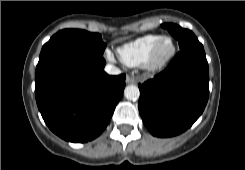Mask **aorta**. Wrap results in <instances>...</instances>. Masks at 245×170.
<instances>
[{
	"label": "aorta",
	"mask_w": 245,
	"mask_h": 170,
	"mask_svg": "<svg viewBox=\"0 0 245 170\" xmlns=\"http://www.w3.org/2000/svg\"><path fill=\"white\" fill-rule=\"evenodd\" d=\"M124 96L128 100H137L140 96L139 88L135 85H128L124 90Z\"/></svg>",
	"instance_id": "762f6f07"
}]
</instances>
